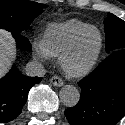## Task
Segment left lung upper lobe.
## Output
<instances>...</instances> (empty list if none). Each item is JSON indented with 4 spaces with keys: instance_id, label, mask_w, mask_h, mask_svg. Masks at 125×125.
<instances>
[{
    "instance_id": "obj_1",
    "label": "left lung upper lobe",
    "mask_w": 125,
    "mask_h": 125,
    "mask_svg": "<svg viewBox=\"0 0 125 125\" xmlns=\"http://www.w3.org/2000/svg\"><path fill=\"white\" fill-rule=\"evenodd\" d=\"M104 26L107 54L125 49V22L115 15L108 13L107 18L104 20Z\"/></svg>"
}]
</instances>
